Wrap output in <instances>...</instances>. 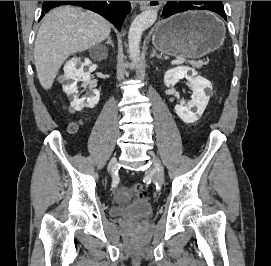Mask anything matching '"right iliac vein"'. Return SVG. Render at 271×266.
Listing matches in <instances>:
<instances>
[{"label": "right iliac vein", "mask_w": 271, "mask_h": 266, "mask_svg": "<svg viewBox=\"0 0 271 266\" xmlns=\"http://www.w3.org/2000/svg\"><path fill=\"white\" fill-rule=\"evenodd\" d=\"M116 168H117V159L114 158L110 161L108 169H109V171H114V170H116Z\"/></svg>", "instance_id": "1"}]
</instances>
